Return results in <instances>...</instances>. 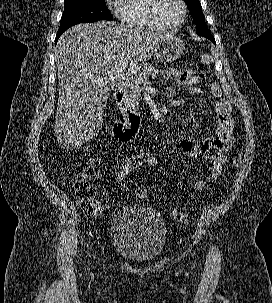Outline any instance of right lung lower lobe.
<instances>
[{
  "mask_svg": "<svg viewBox=\"0 0 272 303\" xmlns=\"http://www.w3.org/2000/svg\"><path fill=\"white\" fill-rule=\"evenodd\" d=\"M62 33H57L56 35V39H55V43L57 42V40L59 39V37L61 36Z\"/></svg>",
  "mask_w": 272,
  "mask_h": 303,
  "instance_id": "98d812e1",
  "label": "right lung lower lobe"
}]
</instances>
